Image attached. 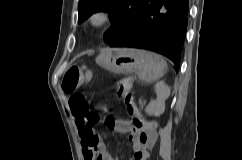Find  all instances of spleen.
I'll return each mask as SVG.
<instances>
[{
  "label": "spleen",
  "instance_id": "1",
  "mask_svg": "<svg viewBox=\"0 0 242 160\" xmlns=\"http://www.w3.org/2000/svg\"><path fill=\"white\" fill-rule=\"evenodd\" d=\"M154 57H155V60H154V63L151 65V68L156 72L154 80H158L164 73V69L166 67V61L157 54H155ZM162 87H163V84L161 82H158L156 84L157 92H159ZM147 111L149 112V109H147Z\"/></svg>",
  "mask_w": 242,
  "mask_h": 160
}]
</instances>
